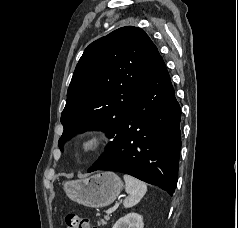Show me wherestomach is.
Returning a JSON list of instances; mask_svg holds the SVG:
<instances>
[{"label":"stomach","instance_id":"stomach-1","mask_svg":"<svg viewBox=\"0 0 238 228\" xmlns=\"http://www.w3.org/2000/svg\"><path fill=\"white\" fill-rule=\"evenodd\" d=\"M66 195L91 208L111 205L123 189L121 178L113 172H102L88 178L63 183Z\"/></svg>","mask_w":238,"mask_h":228}]
</instances>
